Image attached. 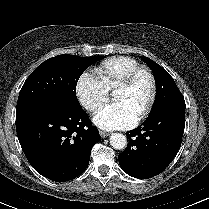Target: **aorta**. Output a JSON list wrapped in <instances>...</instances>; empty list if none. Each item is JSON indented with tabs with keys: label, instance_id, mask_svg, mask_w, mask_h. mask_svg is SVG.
Returning a JSON list of instances; mask_svg holds the SVG:
<instances>
[{
	"label": "aorta",
	"instance_id": "aorta-1",
	"mask_svg": "<svg viewBox=\"0 0 209 209\" xmlns=\"http://www.w3.org/2000/svg\"><path fill=\"white\" fill-rule=\"evenodd\" d=\"M110 145L117 150H122L127 145V138L121 133H113L110 136Z\"/></svg>",
	"mask_w": 209,
	"mask_h": 209
}]
</instances>
